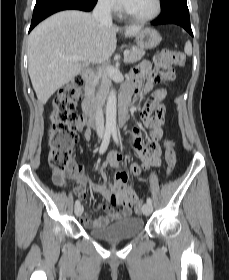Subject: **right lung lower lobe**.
Here are the masks:
<instances>
[{
    "label": "right lung lower lobe",
    "mask_w": 229,
    "mask_h": 280,
    "mask_svg": "<svg viewBox=\"0 0 229 280\" xmlns=\"http://www.w3.org/2000/svg\"><path fill=\"white\" fill-rule=\"evenodd\" d=\"M97 0H37L29 32L43 19L67 9L91 11Z\"/></svg>",
    "instance_id": "1"
}]
</instances>
